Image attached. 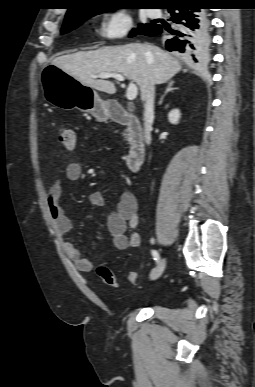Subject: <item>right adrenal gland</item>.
Wrapping results in <instances>:
<instances>
[{
	"label": "right adrenal gland",
	"mask_w": 255,
	"mask_h": 387,
	"mask_svg": "<svg viewBox=\"0 0 255 387\" xmlns=\"http://www.w3.org/2000/svg\"><path fill=\"white\" fill-rule=\"evenodd\" d=\"M173 85H174V81H172V80L168 81L167 86H166V89H165V92H164V94L161 96V98H160V100H159V102H158L159 105H162L163 100H164V97H165L169 92H172V91H174V90L177 89V88L173 87Z\"/></svg>",
	"instance_id": "1"
}]
</instances>
